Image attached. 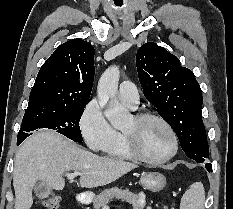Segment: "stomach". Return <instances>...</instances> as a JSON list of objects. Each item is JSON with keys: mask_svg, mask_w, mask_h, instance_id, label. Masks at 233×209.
<instances>
[{"mask_svg": "<svg viewBox=\"0 0 233 209\" xmlns=\"http://www.w3.org/2000/svg\"><path fill=\"white\" fill-rule=\"evenodd\" d=\"M140 184L147 190L157 192L166 186V178L159 172H144L141 175ZM89 198H92V195Z\"/></svg>", "mask_w": 233, "mask_h": 209, "instance_id": "obj_1", "label": "stomach"}]
</instances>
